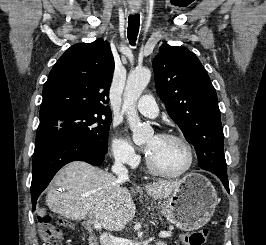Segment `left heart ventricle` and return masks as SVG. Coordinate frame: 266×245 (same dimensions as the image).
Listing matches in <instances>:
<instances>
[{
	"mask_svg": "<svg viewBox=\"0 0 266 245\" xmlns=\"http://www.w3.org/2000/svg\"><path fill=\"white\" fill-rule=\"evenodd\" d=\"M151 141H155V144L149 160L156 170L166 174H176L185 168L188 154L181 142L160 136L150 139L148 143Z\"/></svg>",
	"mask_w": 266,
	"mask_h": 245,
	"instance_id": "left-heart-ventricle-1",
	"label": "left heart ventricle"
}]
</instances>
